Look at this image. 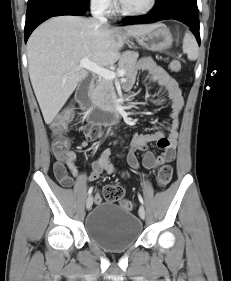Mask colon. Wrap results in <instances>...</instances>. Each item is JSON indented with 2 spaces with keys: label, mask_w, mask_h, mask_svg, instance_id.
Instances as JSON below:
<instances>
[{
  "label": "colon",
  "mask_w": 231,
  "mask_h": 281,
  "mask_svg": "<svg viewBox=\"0 0 231 281\" xmlns=\"http://www.w3.org/2000/svg\"><path fill=\"white\" fill-rule=\"evenodd\" d=\"M170 69L173 72H179L181 70V62L179 60H173L170 63ZM73 116V110L67 109L58 115L55 120L51 123V132H52V145L51 150L52 154L57 161H65L68 158L70 153L69 150V141L64 135L71 119ZM173 170L169 165L161 167L156 176V182L158 186L165 187L167 186L172 178ZM123 188L118 185H109L105 187L103 191V197L106 201L116 202L121 201V205L131 211L134 209V203L130 200H122L123 197ZM102 197L97 196L96 201H101Z\"/></svg>",
  "instance_id": "5ec220e1"
}]
</instances>
